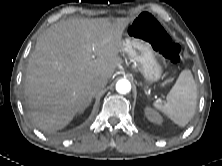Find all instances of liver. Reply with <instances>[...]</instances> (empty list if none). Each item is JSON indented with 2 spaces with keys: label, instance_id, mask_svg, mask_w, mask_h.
<instances>
[{
  "label": "liver",
  "instance_id": "liver-1",
  "mask_svg": "<svg viewBox=\"0 0 222 166\" xmlns=\"http://www.w3.org/2000/svg\"><path fill=\"white\" fill-rule=\"evenodd\" d=\"M131 21L64 20L38 38L28 61L25 97L39 129L55 132L66 127L93 95V82L112 77L122 62V35Z\"/></svg>",
  "mask_w": 222,
  "mask_h": 166
}]
</instances>
